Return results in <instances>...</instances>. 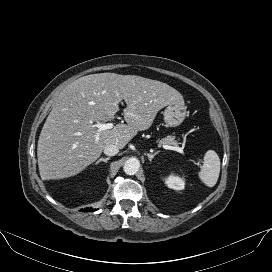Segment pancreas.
<instances>
[{"label":"pancreas","mask_w":272,"mask_h":272,"mask_svg":"<svg viewBox=\"0 0 272 272\" xmlns=\"http://www.w3.org/2000/svg\"><path fill=\"white\" fill-rule=\"evenodd\" d=\"M162 145H177V141L175 140V136H167L159 141Z\"/></svg>","instance_id":"obj_1"}]
</instances>
